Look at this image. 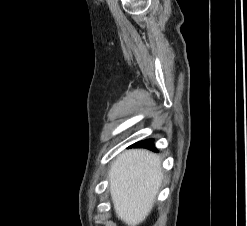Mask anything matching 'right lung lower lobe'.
Wrapping results in <instances>:
<instances>
[{"label": "right lung lower lobe", "mask_w": 247, "mask_h": 226, "mask_svg": "<svg viewBox=\"0 0 247 226\" xmlns=\"http://www.w3.org/2000/svg\"><path fill=\"white\" fill-rule=\"evenodd\" d=\"M134 147H144V148L153 149V150L155 149L152 139L138 142V143L134 144Z\"/></svg>", "instance_id": "98d812e1"}]
</instances>
